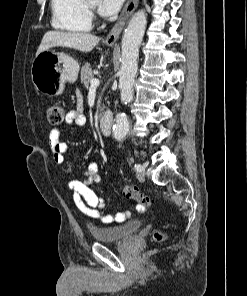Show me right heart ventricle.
Segmentation results:
<instances>
[{"label":"right heart ventricle","mask_w":247,"mask_h":296,"mask_svg":"<svg viewBox=\"0 0 247 296\" xmlns=\"http://www.w3.org/2000/svg\"><path fill=\"white\" fill-rule=\"evenodd\" d=\"M51 24L57 30L88 32L92 28L85 0H51Z\"/></svg>","instance_id":"obj_1"}]
</instances>
